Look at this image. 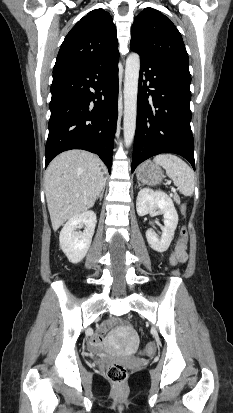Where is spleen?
<instances>
[{
    "label": "spleen",
    "mask_w": 233,
    "mask_h": 413,
    "mask_svg": "<svg viewBox=\"0 0 233 413\" xmlns=\"http://www.w3.org/2000/svg\"><path fill=\"white\" fill-rule=\"evenodd\" d=\"M153 161L166 170V174L174 182L179 192L184 196H191L194 192V172L180 158L171 154L155 156Z\"/></svg>",
    "instance_id": "3e777b00"
}]
</instances>
